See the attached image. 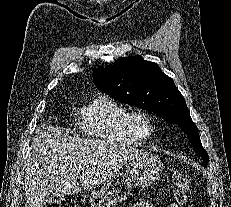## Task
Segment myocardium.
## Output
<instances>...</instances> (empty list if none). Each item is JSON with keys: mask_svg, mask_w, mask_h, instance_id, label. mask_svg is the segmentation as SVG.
<instances>
[{"mask_svg": "<svg viewBox=\"0 0 231 207\" xmlns=\"http://www.w3.org/2000/svg\"><path fill=\"white\" fill-rule=\"evenodd\" d=\"M128 124L132 133L139 140L149 139L154 132V122L151 115L142 109H134L128 113ZM141 122H144L146 128H142Z\"/></svg>", "mask_w": 231, "mask_h": 207, "instance_id": "1", "label": "myocardium"}]
</instances>
